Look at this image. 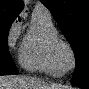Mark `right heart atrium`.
I'll return each mask as SVG.
<instances>
[{"label": "right heart atrium", "mask_w": 89, "mask_h": 89, "mask_svg": "<svg viewBox=\"0 0 89 89\" xmlns=\"http://www.w3.org/2000/svg\"><path fill=\"white\" fill-rule=\"evenodd\" d=\"M21 25V19H17L12 23L7 36V44L9 49H12L14 47L17 39L19 38L21 32Z\"/></svg>", "instance_id": "d8ad5b80"}]
</instances>
